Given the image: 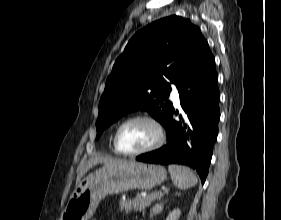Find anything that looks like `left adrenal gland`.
I'll list each match as a JSON object with an SVG mask.
<instances>
[{"label":"left adrenal gland","mask_w":281,"mask_h":220,"mask_svg":"<svg viewBox=\"0 0 281 220\" xmlns=\"http://www.w3.org/2000/svg\"><path fill=\"white\" fill-rule=\"evenodd\" d=\"M163 206H164V202H160L159 204H156L150 211V217H153L154 215L159 213L158 208H160V211H161Z\"/></svg>","instance_id":"obj_1"}]
</instances>
